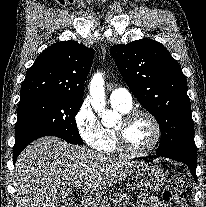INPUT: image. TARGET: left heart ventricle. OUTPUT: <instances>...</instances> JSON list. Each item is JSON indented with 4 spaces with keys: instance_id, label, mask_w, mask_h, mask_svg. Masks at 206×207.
Returning a JSON list of instances; mask_svg holds the SVG:
<instances>
[{
    "instance_id": "obj_1",
    "label": "left heart ventricle",
    "mask_w": 206,
    "mask_h": 207,
    "mask_svg": "<svg viewBox=\"0 0 206 207\" xmlns=\"http://www.w3.org/2000/svg\"><path fill=\"white\" fill-rule=\"evenodd\" d=\"M125 137L126 142L131 149L136 151L144 150L153 140V125L146 117L136 118L127 125L125 129Z\"/></svg>"
}]
</instances>
